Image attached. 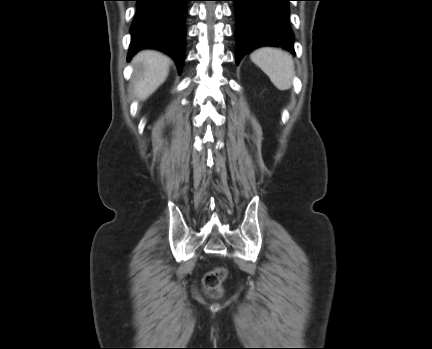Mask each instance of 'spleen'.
Returning a JSON list of instances; mask_svg holds the SVG:
<instances>
[{"mask_svg":"<svg viewBox=\"0 0 432 349\" xmlns=\"http://www.w3.org/2000/svg\"><path fill=\"white\" fill-rule=\"evenodd\" d=\"M250 59L261 68L277 89L285 91L291 88L295 67L289 53L278 48L263 47L251 53Z\"/></svg>","mask_w":432,"mask_h":349,"instance_id":"1","label":"spleen"}]
</instances>
